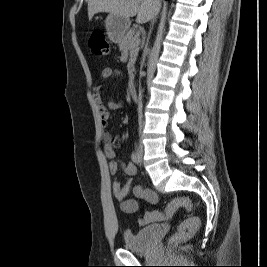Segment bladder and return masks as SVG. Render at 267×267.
Wrapping results in <instances>:
<instances>
[{"label": "bladder", "mask_w": 267, "mask_h": 267, "mask_svg": "<svg viewBox=\"0 0 267 267\" xmlns=\"http://www.w3.org/2000/svg\"><path fill=\"white\" fill-rule=\"evenodd\" d=\"M161 230L158 224L148 225L137 231L127 230L123 234L124 247L129 251L141 252L147 250Z\"/></svg>", "instance_id": "obj_1"}]
</instances>
